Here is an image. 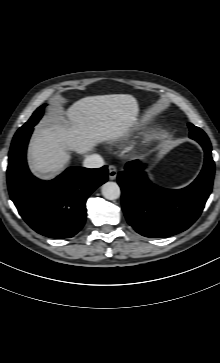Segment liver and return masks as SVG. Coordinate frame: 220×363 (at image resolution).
I'll list each match as a JSON object with an SVG mask.
<instances>
[{"mask_svg":"<svg viewBox=\"0 0 220 363\" xmlns=\"http://www.w3.org/2000/svg\"><path fill=\"white\" fill-rule=\"evenodd\" d=\"M139 106L129 94L89 96L73 103L65 116L38 127L29 146V165L52 178L70 161V151L85 154L103 142L126 138L137 124Z\"/></svg>","mask_w":220,"mask_h":363,"instance_id":"liver-1","label":"liver"}]
</instances>
